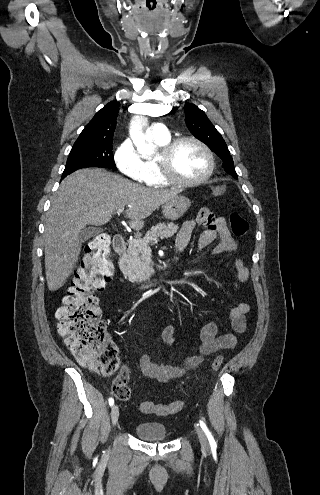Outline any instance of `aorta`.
<instances>
[{
	"label": "aorta",
	"instance_id": "obj_1",
	"mask_svg": "<svg viewBox=\"0 0 320 495\" xmlns=\"http://www.w3.org/2000/svg\"><path fill=\"white\" fill-rule=\"evenodd\" d=\"M159 110L158 106L145 105L143 112L145 114L136 115L130 121L129 133L130 137L141 156L151 155L155 152L154 146L146 141V137L143 131L145 124L147 123V115H153Z\"/></svg>",
	"mask_w": 320,
	"mask_h": 495
}]
</instances>
